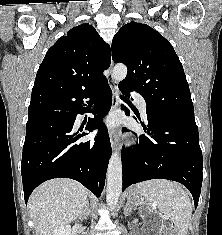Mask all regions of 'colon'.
Wrapping results in <instances>:
<instances>
[{
  "label": "colon",
  "instance_id": "obj_1",
  "mask_svg": "<svg viewBox=\"0 0 222 235\" xmlns=\"http://www.w3.org/2000/svg\"><path fill=\"white\" fill-rule=\"evenodd\" d=\"M162 235H177L174 223L168 222L163 229Z\"/></svg>",
  "mask_w": 222,
  "mask_h": 235
}]
</instances>
